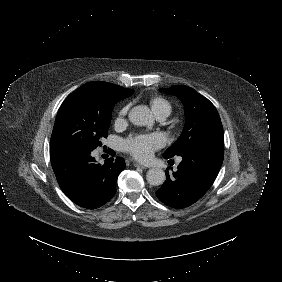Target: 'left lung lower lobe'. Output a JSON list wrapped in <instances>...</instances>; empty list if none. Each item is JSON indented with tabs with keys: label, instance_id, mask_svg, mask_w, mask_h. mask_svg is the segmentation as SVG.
Listing matches in <instances>:
<instances>
[{
	"label": "left lung lower lobe",
	"instance_id": "0a47b994",
	"mask_svg": "<svg viewBox=\"0 0 282 282\" xmlns=\"http://www.w3.org/2000/svg\"><path fill=\"white\" fill-rule=\"evenodd\" d=\"M179 156L178 170L170 176L167 169L166 181L156 192L161 202L173 208L188 207L208 191L221 168L224 144H199Z\"/></svg>",
	"mask_w": 282,
	"mask_h": 282
}]
</instances>
